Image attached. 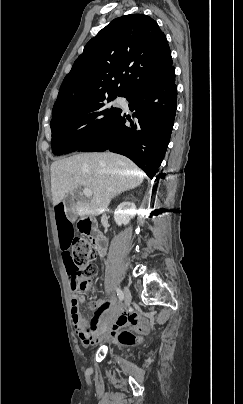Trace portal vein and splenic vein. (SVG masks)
I'll list each match as a JSON object with an SVG mask.
<instances>
[{
  "instance_id": "portal-vein-and-splenic-vein-1",
  "label": "portal vein and splenic vein",
  "mask_w": 243,
  "mask_h": 404,
  "mask_svg": "<svg viewBox=\"0 0 243 404\" xmlns=\"http://www.w3.org/2000/svg\"><path fill=\"white\" fill-rule=\"evenodd\" d=\"M83 194H84V196H86V198H91V196H92V192H91V190H89V188H84Z\"/></svg>"
}]
</instances>
